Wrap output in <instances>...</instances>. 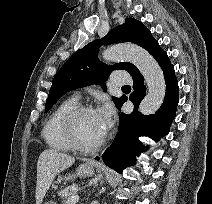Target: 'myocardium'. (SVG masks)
<instances>
[{"label": "myocardium", "mask_w": 212, "mask_h": 204, "mask_svg": "<svg viewBox=\"0 0 212 204\" xmlns=\"http://www.w3.org/2000/svg\"><path fill=\"white\" fill-rule=\"evenodd\" d=\"M96 108L91 105H78L70 110L63 118L61 123L62 134L72 150L89 153L97 150L105 141L106 133L103 137L92 145L81 144L76 136L75 125L77 120L84 114L89 112H96Z\"/></svg>", "instance_id": "f54148a6"}]
</instances>
